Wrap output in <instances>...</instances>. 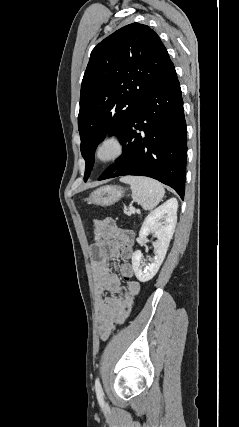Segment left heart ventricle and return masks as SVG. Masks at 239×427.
I'll use <instances>...</instances> for the list:
<instances>
[{"instance_id": "left-heart-ventricle-1", "label": "left heart ventricle", "mask_w": 239, "mask_h": 427, "mask_svg": "<svg viewBox=\"0 0 239 427\" xmlns=\"http://www.w3.org/2000/svg\"><path fill=\"white\" fill-rule=\"evenodd\" d=\"M113 153V146L111 145H106L102 150H101V155L104 157L110 156Z\"/></svg>"}]
</instances>
